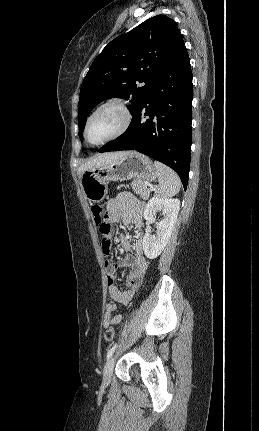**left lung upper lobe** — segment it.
<instances>
[{"label": "left lung upper lobe", "mask_w": 259, "mask_h": 431, "mask_svg": "<svg viewBox=\"0 0 259 431\" xmlns=\"http://www.w3.org/2000/svg\"><path fill=\"white\" fill-rule=\"evenodd\" d=\"M183 42L176 22L165 15L154 16L112 40L93 61L81 86L80 139L87 116L104 99L131 98L133 115ZM137 83L145 85L137 87Z\"/></svg>", "instance_id": "obj_1"}]
</instances>
